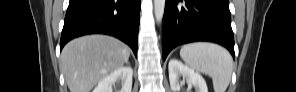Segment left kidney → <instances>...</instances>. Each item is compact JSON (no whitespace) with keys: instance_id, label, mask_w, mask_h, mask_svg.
I'll return each instance as SVG.
<instances>
[{"instance_id":"1","label":"left kidney","mask_w":296,"mask_h":92,"mask_svg":"<svg viewBox=\"0 0 296 92\" xmlns=\"http://www.w3.org/2000/svg\"><path fill=\"white\" fill-rule=\"evenodd\" d=\"M169 69V81L172 92H179L180 87L183 85V81L180 77L183 76L186 79L187 85L194 86L196 92H208V88L203 77L195 72L193 69L183 64L177 59H171L168 65Z\"/></svg>"}]
</instances>
